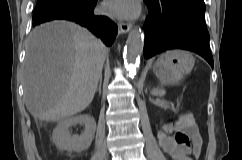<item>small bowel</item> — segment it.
I'll return each mask as SVG.
<instances>
[{"mask_svg":"<svg viewBox=\"0 0 242 160\" xmlns=\"http://www.w3.org/2000/svg\"><path fill=\"white\" fill-rule=\"evenodd\" d=\"M174 131L170 136L169 132ZM163 149L174 160H192V155H199L202 150V137L192 114L182 115L176 123L164 126L159 132Z\"/></svg>","mask_w":242,"mask_h":160,"instance_id":"1","label":"small bowel"}]
</instances>
